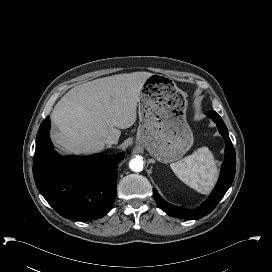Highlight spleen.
I'll return each instance as SVG.
<instances>
[{
  "label": "spleen",
  "mask_w": 272,
  "mask_h": 272,
  "mask_svg": "<svg viewBox=\"0 0 272 272\" xmlns=\"http://www.w3.org/2000/svg\"><path fill=\"white\" fill-rule=\"evenodd\" d=\"M170 167L182 182L202 194L209 193L217 180L216 161L207 147L171 163Z\"/></svg>",
  "instance_id": "obj_1"
}]
</instances>
